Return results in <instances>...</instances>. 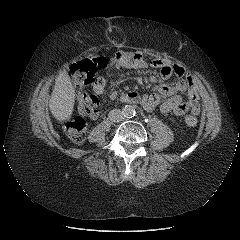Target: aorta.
<instances>
[{
    "mask_svg": "<svg viewBox=\"0 0 240 240\" xmlns=\"http://www.w3.org/2000/svg\"><path fill=\"white\" fill-rule=\"evenodd\" d=\"M122 113L124 115V117L127 118H132L135 116L136 111H135V107L132 105H126L123 109H122Z\"/></svg>",
    "mask_w": 240,
    "mask_h": 240,
    "instance_id": "1",
    "label": "aorta"
}]
</instances>
